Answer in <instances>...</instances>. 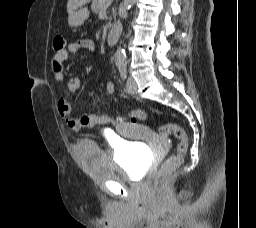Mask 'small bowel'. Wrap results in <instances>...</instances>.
<instances>
[{"label":"small bowel","mask_w":256,"mask_h":228,"mask_svg":"<svg viewBox=\"0 0 256 228\" xmlns=\"http://www.w3.org/2000/svg\"><path fill=\"white\" fill-rule=\"evenodd\" d=\"M95 49L94 42L90 39H79L70 43L64 50L54 53L52 56L53 79L57 83L64 80L63 64L71 54L81 51L93 52ZM81 82L78 77H72L67 82L68 91L75 93L80 89ZM114 84L108 82L105 86L104 96L108 97L114 92ZM57 109L60 116L64 119L67 126L72 131H79L84 128L95 126H103L112 122L101 110L94 112L83 113L74 116L71 110V102L67 98L58 100Z\"/></svg>","instance_id":"c3829d8e"}]
</instances>
